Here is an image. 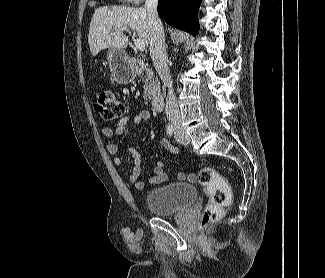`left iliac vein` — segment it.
<instances>
[{"label": "left iliac vein", "instance_id": "1", "mask_svg": "<svg viewBox=\"0 0 325 278\" xmlns=\"http://www.w3.org/2000/svg\"><path fill=\"white\" fill-rule=\"evenodd\" d=\"M175 139L177 142L187 145L190 143L189 136L182 130H177L175 132Z\"/></svg>", "mask_w": 325, "mask_h": 278}]
</instances>
